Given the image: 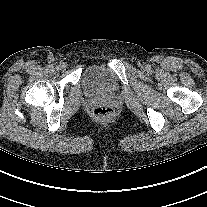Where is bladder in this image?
I'll return each instance as SVG.
<instances>
[{
    "instance_id": "1",
    "label": "bladder",
    "mask_w": 207,
    "mask_h": 207,
    "mask_svg": "<svg viewBox=\"0 0 207 207\" xmlns=\"http://www.w3.org/2000/svg\"><path fill=\"white\" fill-rule=\"evenodd\" d=\"M83 86L92 94L110 93L115 90L113 73L101 65L89 66L83 74Z\"/></svg>"
}]
</instances>
